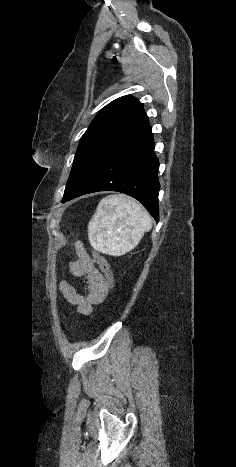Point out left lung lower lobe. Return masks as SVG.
Masks as SVG:
<instances>
[{
	"instance_id": "left-lung-lower-lobe-1",
	"label": "left lung lower lobe",
	"mask_w": 236,
	"mask_h": 467,
	"mask_svg": "<svg viewBox=\"0 0 236 467\" xmlns=\"http://www.w3.org/2000/svg\"><path fill=\"white\" fill-rule=\"evenodd\" d=\"M158 168L146 116L110 146L86 182L62 202L98 191L122 192L141 202L158 222Z\"/></svg>"
}]
</instances>
